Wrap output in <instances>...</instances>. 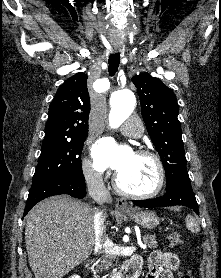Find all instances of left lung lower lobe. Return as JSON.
<instances>
[{
	"instance_id": "1",
	"label": "left lung lower lobe",
	"mask_w": 221,
	"mask_h": 278,
	"mask_svg": "<svg viewBox=\"0 0 221 278\" xmlns=\"http://www.w3.org/2000/svg\"><path fill=\"white\" fill-rule=\"evenodd\" d=\"M135 205L145 208L166 207L182 205L193 209L198 215V204L193 193L189 176L177 179L172 185L166 187V194L148 200H133Z\"/></svg>"
}]
</instances>
